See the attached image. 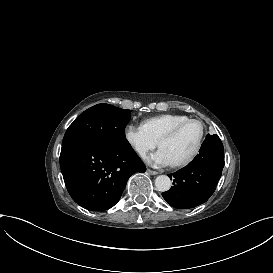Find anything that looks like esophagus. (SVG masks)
<instances>
[{
    "label": "esophagus",
    "mask_w": 273,
    "mask_h": 273,
    "mask_svg": "<svg viewBox=\"0 0 273 273\" xmlns=\"http://www.w3.org/2000/svg\"><path fill=\"white\" fill-rule=\"evenodd\" d=\"M147 172H148L150 175H157V174H158L157 171H154V170H151V169H147Z\"/></svg>",
    "instance_id": "obj_1"
}]
</instances>
